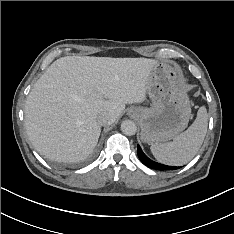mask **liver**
I'll return each instance as SVG.
<instances>
[{
    "mask_svg": "<svg viewBox=\"0 0 234 234\" xmlns=\"http://www.w3.org/2000/svg\"><path fill=\"white\" fill-rule=\"evenodd\" d=\"M155 64L147 58L57 59L26 99L25 128L32 145L51 160L85 159L101 133L98 116L108 113L112 124L126 104L144 102Z\"/></svg>",
    "mask_w": 234,
    "mask_h": 234,
    "instance_id": "obj_1",
    "label": "liver"
}]
</instances>
